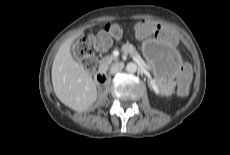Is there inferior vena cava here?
<instances>
[{
	"instance_id": "obj_1",
	"label": "inferior vena cava",
	"mask_w": 230,
	"mask_h": 155,
	"mask_svg": "<svg viewBox=\"0 0 230 155\" xmlns=\"http://www.w3.org/2000/svg\"><path fill=\"white\" fill-rule=\"evenodd\" d=\"M124 67V63H116L115 65H113L110 69V73L111 74H116L118 72H120Z\"/></svg>"
}]
</instances>
